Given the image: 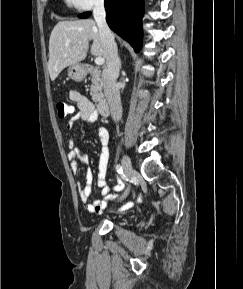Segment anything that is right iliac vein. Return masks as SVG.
Returning <instances> with one entry per match:
<instances>
[{"mask_svg": "<svg viewBox=\"0 0 243 289\" xmlns=\"http://www.w3.org/2000/svg\"><path fill=\"white\" fill-rule=\"evenodd\" d=\"M121 163H122V167L125 171V174L126 176L128 177V179H131L135 173L133 167H132V163H131V160L130 158L123 154L122 155V159H121ZM130 192V185H128L127 189L125 190V192L123 193V195L121 196V200H123L124 198L127 197V195L129 194Z\"/></svg>", "mask_w": 243, "mask_h": 289, "instance_id": "right-iliac-vein-1", "label": "right iliac vein"}]
</instances>
